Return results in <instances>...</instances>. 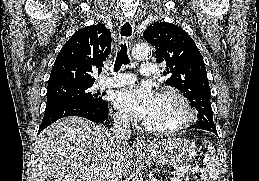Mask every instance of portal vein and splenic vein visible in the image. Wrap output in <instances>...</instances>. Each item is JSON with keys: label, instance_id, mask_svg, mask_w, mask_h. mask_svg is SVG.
I'll return each mask as SVG.
<instances>
[{"label": "portal vein and splenic vein", "instance_id": "obj_1", "mask_svg": "<svg viewBox=\"0 0 259 181\" xmlns=\"http://www.w3.org/2000/svg\"><path fill=\"white\" fill-rule=\"evenodd\" d=\"M198 171H202V169L199 168L198 166H196V167H189V166H187V167L179 169L176 172H172L171 174L173 176H184V174L186 172H198Z\"/></svg>", "mask_w": 259, "mask_h": 181}]
</instances>
